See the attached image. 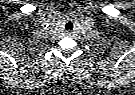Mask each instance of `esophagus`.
<instances>
[{
  "instance_id": "esophagus-1",
  "label": "esophagus",
  "mask_w": 135,
  "mask_h": 95,
  "mask_svg": "<svg viewBox=\"0 0 135 95\" xmlns=\"http://www.w3.org/2000/svg\"><path fill=\"white\" fill-rule=\"evenodd\" d=\"M66 35L71 36V35H72V32L67 31V32H66Z\"/></svg>"
}]
</instances>
